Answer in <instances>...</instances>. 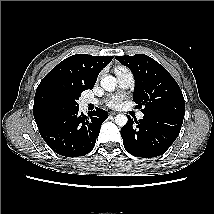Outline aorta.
Listing matches in <instances>:
<instances>
[{"instance_id": "obj_1", "label": "aorta", "mask_w": 214, "mask_h": 214, "mask_svg": "<svg viewBox=\"0 0 214 214\" xmlns=\"http://www.w3.org/2000/svg\"><path fill=\"white\" fill-rule=\"evenodd\" d=\"M101 86L106 91H109V92L114 91L116 87V78L113 76H105L104 78L101 79ZM127 122H128V119L123 114H118L115 117V123L120 127L125 126Z\"/></svg>"}]
</instances>
